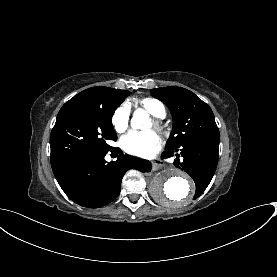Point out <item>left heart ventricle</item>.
<instances>
[{
  "label": "left heart ventricle",
  "instance_id": "1",
  "mask_svg": "<svg viewBox=\"0 0 277 277\" xmlns=\"http://www.w3.org/2000/svg\"><path fill=\"white\" fill-rule=\"evenodd\" d=\"M152 126H153V124H152V122H151V124H150V126H149V128H148V129H150Z\"/></svg>",
  "mask_w": 277,
  "mask_h": 277
}]
</instances>
